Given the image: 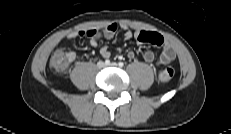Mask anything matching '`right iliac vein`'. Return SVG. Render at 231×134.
<instances>
[{
	"label": "right iliac vein",
	"instance_id": "obj_1",
	"mask_svg": "<svg viewBox=\"0 0 231 134\" xmlns=\"http://www.w3.org/2000/svg\"><path fill=\"white\" fill-rule=\"evenodd\" d=\"M97 67H98L99 69H102V68L105 67V64H104L102 61H99V62L97 63Z\"/></svg>",
	"mask_w": 231,
	"mask_h": 134
}]
</instances>
